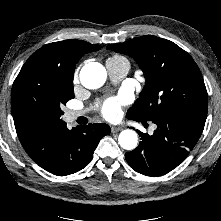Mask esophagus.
Wrapping results in <instances>:
<instances>
[{
    "label": "esophagus",
    "instance_id": "1",
    "mask_svg": "<svg viewBox=\"0 0 221 221\" xmlns=\"http://www.w3.org/2000/svg\"><path fill=\"white\" fill-rule=\"evenodd\" d=\"M122 130V127H117V126H112L111 127V132L116 133Z\"/></svg>",
    "mask_w": 221,
    "mask_h": 221
}]
</instances>
